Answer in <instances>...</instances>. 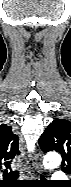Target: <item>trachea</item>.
<instances>
[{
    "mask_svg": "<svg viewBox=\"0 0 71 187\" xmlns=\"http://www.w3.org/2000/svg\"><path fill=\"white\" fill-rule=\"evenodd\" d=\"M40 179H43V176H42V175H40Z\"/></svg>",
    "mask_w": 71,
    "mask_h": 187,
    "instance_id": "trachea-1",
    "label": "trachea"
}]
</instances>
